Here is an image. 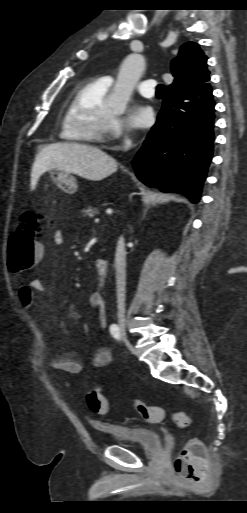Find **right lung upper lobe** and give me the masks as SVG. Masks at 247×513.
I'll use <instances>...</instances> for the list:
<instances>
[{"mask_svg": "<svg viewBox=\"0 0 247 513\" xmlns=\"http://www.w3.org/2000/svg\"><path fill=\"white\" fill-rule=\"evenodd\" d=\"M206 62L207 57L198 44L188 42L181 46L178 56L171 62L175 79L166 91L195 92L204 88L210 80Z\"/></svg>", "mask_w": 247, "mask_h": 513, "instance_id": "cb5924a9", "label": "right lung upper lobe"}]
</instances>
